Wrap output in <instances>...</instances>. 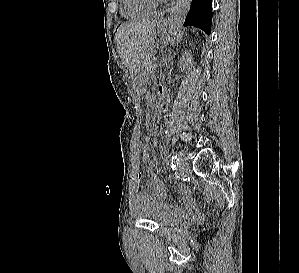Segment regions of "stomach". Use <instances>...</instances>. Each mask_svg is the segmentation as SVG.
I'll return each instance as SVG.
<instances>
[{
    "instance_id": "1",
    "label": "stomach",
    "mask_w": 299,
    "mask_h": 273,
    "mask_svg": "<svg viewBox=\"0 0 299 273\" xmlns=\"http://www.w3.org/2000/svg\"><path fill=\"white\" fill-rule=\"evenodd\" d=\"M165 25H162L158 23L157 29L158 31H164L165 30ZM146 79L144 76H139L136 78V89L139 94H143L145 92V84H146Z\"/></svg>"
}]
</instances>
